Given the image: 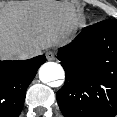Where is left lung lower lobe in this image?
<instances>
[{
	"label": "left lung lower lobe",
	"mask_w": 117,
	"mask_h": 117,
	"mask_svg": "<svg viewBox=\"0 0 117 117\" xmlns=\"http://www.w3.org/2000/svg\"><path fill=\"white\" fill-rule=\"evenodd\" d=\"M66 74L56 98L65 117H114L117 114V21L85 28L59 49Z\"/></svg>",
	"instance_id": "1"
}]
</instances>
